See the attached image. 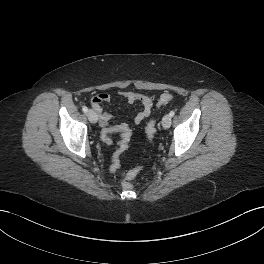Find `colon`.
Wrapping results in <instances>:
<instances>
[{
    "label": "colon",
    "mask_w": 264,
    "mask_h": 264,
    "mask_svg": "<svg viewBox=\"0 0 264 264\" xmlns=\"http://www.w3.org/2000/svg\"><path fill=\"white\" fill-rule=\"evenodd\" d=\"M173 99V95L170 93H164L160 96L157 105L158 106H163L168 104L171 100ZM146 133L147 136L150 140H152L155 136L156 133V124L153 119H151L147 125H146ZM111 133L106 131L102 132L101 137L104 143L107 145H110L112 143L111 139ZM131 136L129 135L128 132H125V135L123 137V146L128 147L129 141H130ZM127 149V148H126ZM141 170V166H137L131 170H129L127 173L124 174L123 176V181H122V187L125 190H131L133 188V185L130 183V180L133 179Z\"/></svg>",
    "instance_id": "1"
}]
</instances>
